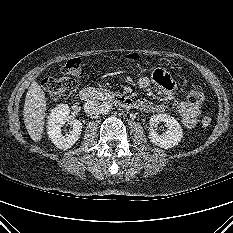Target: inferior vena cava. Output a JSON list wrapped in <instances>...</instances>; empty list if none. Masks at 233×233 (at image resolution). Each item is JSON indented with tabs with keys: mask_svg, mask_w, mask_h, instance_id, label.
Instances as JSON below:
<instances>
[{
	"mask_svg": "<svg viewBox=\"0 0 233 233\" xmlns=\"http://www.w3.org/2000/svg\"><path fill=\"white\" fill-rule=\"evenodd\" d=\"M103 104L98 101L89 100L84 105L85 113L91 118H98L102 113Z\"/></svg>",
	"mask_w": 233,
	"mask_h": 233,
	"instance_id": "inferior-vena-cava-1",
	"label": "inferior vena cava"
}]
</instances>
